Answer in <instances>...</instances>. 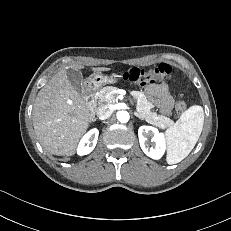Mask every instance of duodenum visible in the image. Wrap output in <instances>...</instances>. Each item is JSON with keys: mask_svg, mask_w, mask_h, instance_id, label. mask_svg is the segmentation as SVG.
Wrapping results in <instances>:
<instances>
[{"mask_svg": "<svg viewBox=\"0 0 231 231\" xmlns=\"http://www.w3.org/2000/svg\"><path fill=\"white\" fill-rule=\"evenodd\" d=\"M94 85L92 83L86 84L84 88V99L88 107L92 110L95 107V92Z\"/></svg>", "mask_w": 231, "mask_h": 231, "instance_id": "duodenum-1", "label": "duodenum"}]
</instances>
